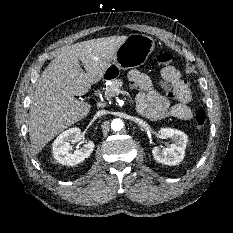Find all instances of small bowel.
Returning a JSON list of instances; mask_svg holds the SVG:
<instances>
[{
	"mask_svg": "<svg viewBox=\"0 0 233 233\" xmlns=\"http://www.w3.org/2000/svg\"><path fill=\"white\" fill-rule=\"evenodd\" d=\"M128 79L130 84L139 90L136 96L137 109L148 119L159 120L171 117L188 121L192 118L193 113L188 106L191 100V90L188 83L182 78L174 86L177 92L175 104H171L168 98L154 88L147 74L138 70H131Z\"/></svg>",
	"mask_w": 233,
	"mask_h": 233,
	"instance_id": "small-bowel-1",
	"label": "small bowel"
}]
</instances>
